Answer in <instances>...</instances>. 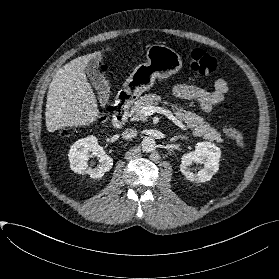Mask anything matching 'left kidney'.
<instances>
[{
	"label": "left kidney",
	"instance_id": "obj_1",
	"mask_svg": "<svg viewBox=\"0 0 279 279\" xmlns=\"http://www.w3.org/2000/svg\"><path fill=\"white\" fill-rule=\"evenodd\" d=\"M221 150L215 144L210 142H199L195 146V150L182 156L180 171L190 181L206 182L210 181L213 174L219 170V160ZM203 164L204 167L197 173L191 172L192 163Z\"/></svg>",
	"mask_w": 279,
	"mask_h": 279
}]
</instances>
